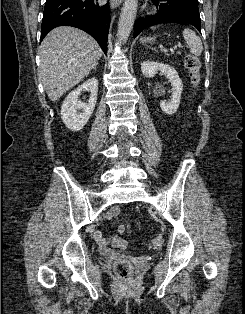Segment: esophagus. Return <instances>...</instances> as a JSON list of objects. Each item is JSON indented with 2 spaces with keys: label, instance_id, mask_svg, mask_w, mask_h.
Instances as JSON below:
<instances>
[{
  "label": "esophagus",
  "instance_id": "1",
  "mask_svg": "<svg viewBox=\"0 0 245 314\" xmlns=\"http://www.w3.org/2000/svg\"><path fill=\"white\" fill-rule=\"evenodd\" d=\"M122 0H111L110 1V6L112 9L117 8L121 4Z\"/></svg>",
  "mask_w": 245,
  "mask_h": 314
}]
</instances>
